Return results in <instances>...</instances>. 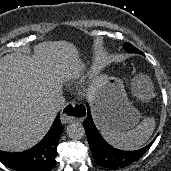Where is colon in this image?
<instances>
[{"mask_svg":"<svg viewBox=\"0 0 171 171\" xmlns=\"http://www.w3.org/2000/svg\"><path fill=\"white\" fill-rule=\"evenodd\" d=\"M137 83V77H134L131 81V86L134 87Z\"/></svg>","mask_w":171,"mask_h":171,"instance_id":"colon-1","label":"colon"}]
</instances>
